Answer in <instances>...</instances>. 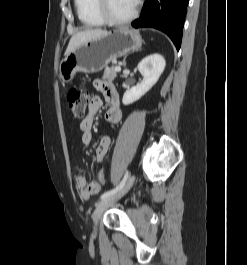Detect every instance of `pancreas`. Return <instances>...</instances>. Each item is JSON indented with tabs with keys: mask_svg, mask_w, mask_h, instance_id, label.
Returning a JSON list of instances; mask_svg holds the SVG:
<instances>
[{
	"mask_svg": "<svg viewBox=\"0 0 247 265\" xmlns=\"http://www.w3.org/2000/svg\"><path fill=\"white\" fill-rule=\"evenodd\" d=\"M117 72L115 71V66H112L110 68H106L103 74V79L112 81L116 78Z\"/></svg>",
	"mask_w": 247,
	"mask_h": 265,
	"instance_id": "1",
	"label": "pancreas"
}]
</instances>
